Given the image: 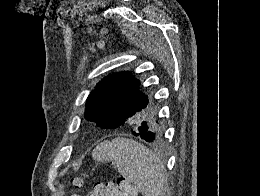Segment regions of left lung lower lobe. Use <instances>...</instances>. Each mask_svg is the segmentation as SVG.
Returning a JSON list of instances; mask_svg holds the SVG:
<instances>
[{
    "instance_id": "left-lung-lower-lobe-1",
    "label": "left lung lower lobe",
    "mask_w": 260,
    "mask_h": 196,
    "mask_svg": "<svg viewBox=\"0 0 260 196\" xmlns=\"http://www.w3.org/2000/svg\"><path fill=\"white\" fill-rule=\"evenodd\" d=\"M134 113L132 108L123 106H112L110 107L99 119V123H103V125H119L127 121ZM132 134L134 136L141 137L143 140L147 142L153 141V135L151 134V130L148 129V126L142 124L133 127Z\"/></svg>"
}]
</instances>
